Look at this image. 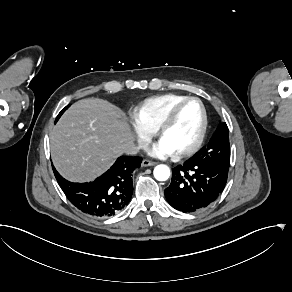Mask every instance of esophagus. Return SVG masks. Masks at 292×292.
Wrapping results in <instances>:
<instances>
[{
  "mask_svg": "<svg viewBox=\"0 0 292 292\" xmlns=\"http://www.w3.org/2000/svg\"><path fill=\"white\" fill-rule=\"evenodd\" d=\"M156 164H157V162H154V161H151V160H148V159H144V160L142 161V166H143V167L154 166V165H156Z\"/></svg>",
  "mask_w": 292,
  "mask_h": 292,
  "instance_id": "34e87169",
  "label": "esophagus"
}]
</instances>
